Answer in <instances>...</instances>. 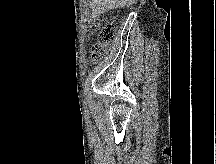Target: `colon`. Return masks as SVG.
<instances>
[{
  "mask_svg": "<svg viewBox=\"0 0 216 164\" xmlns=\"http://www.w3.org/2000/svg\"><path fill=\"white\" fill-rule=\"evenodd\" d=\"M99 26L98 23L94 24L95 28ZM115 33L116 30L113 22H107L101 25L98 33V41L94 44L91 52V57L94 61H99L105 56L107 46L113 41Z\"/></svg>",
  "mask_w": 216,
  "mask_h": 164,
  "instance_id": "1",
  "label": "colon"
}]
</instances>
